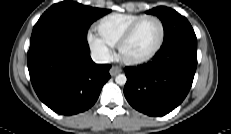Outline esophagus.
I'll return each instance as SVG.
<instances>
[{
  "label": "esophagus",
  "instance_id": "34e87169",
  "mask_svg": "<svg viewBox=\"0 0 231 134\" xmlns=\"http://www.w3.org/2000/svg\"><path fill=\"white\" fill-rule=\"evenodd\" d=\"M121 72H122V69L120 67H118V66H112L110 68V71H109L111 76H116L117 74H119Z\"/></svg>",
  "mask_w": 231,
  "mask_h": 134
}]
</instances>
